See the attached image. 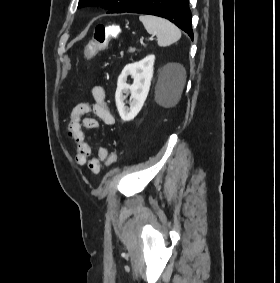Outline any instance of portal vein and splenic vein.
Instances as JSON below:
<instances>
[{"label":"portal vein and splenic vein","instance_id":"1","mask_svg":"<svg viewBox=\"0 0 280 283\" xmlns=\"http://www.w3.org/2000/svg\"><path fill=\"white\" fill-rule=\"evenodd\" d=\"M149 39H150V40H153L154 38H153V37H150Z\"/></svg>","mask_w":280,"mask_h":283}]
</instances>
